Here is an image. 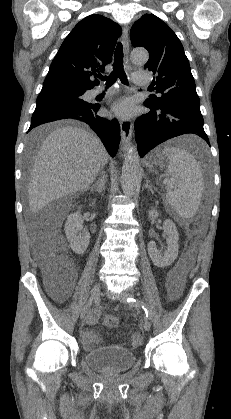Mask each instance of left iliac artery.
Listing matches in <instances>:
<instances>
[{"instance_id": "left-iliac-artery-1", "label": "left iliac artery", "mask_w": 231, "mask_h": 419, "mask_svg": "<svg viewBox=\"0 0 231 419\" xmlns=\"http://www.w3.org/2000/svg\"><path fill=\"white\" fill-rule=\"evenodd\" d=\"M127 302H128L131 306H135V307H142V308H143V310H144V312H145L146 317H147L148 319H150V318H151V311H150V309H149L148 305H147L144 301H142V300H138V299H134V298H132V297H129V298L127 299Z\"/></svg>"}]
</instances>
